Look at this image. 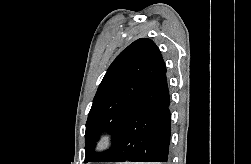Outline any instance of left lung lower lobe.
I'll list each match as a JSON object with an SVG mask.
<instances>
[{"mask_svg": "<svg viewBox=\"0 0 251 164\" xmlns=\"http://www.w3.org/2000/svg\"><path fill=\"white\" fill-rule=\"evenodd\" d=\"M165 73L133 104L111 153L101 162H167L171 118Z\"/></svg>", "mask_w": 251, "mask_h": 164, "instance_id": "1", "label": "left lung lower lobe"}]
</instances>
